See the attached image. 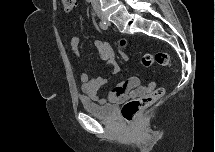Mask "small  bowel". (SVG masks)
I'll return each mask as SVG.
<instances>
[{
	"label": "small bowel",
	"mask_w": 215,
	"mask_h": 152,
	"mask_svg": "<svg viewBox=\"0 0 215 152\" xmlns=\"http://www.w3.org/2000/svg\"><path fill=\"white\" fill-rule=\"evenodd\" d=\"M82 39L74 36L70 40V46L75 55L80 56V46ZM97 50L98 58L102 62H106L112 68V74L120 72L116 63L114 52L109 43L96 40L94 42ZM109 76H99L97 78H89L86 73L80 75L81 89L84 94L94 99L100 104L115 103L128 97H139L152 90L157 86L156 82H150L148 85H142L138 77H130L126 81L116 84L106 97L98 95L99 89L108 81Z\"/></svg>",
	"instance_id": "obj_1"
}]
</instances>
